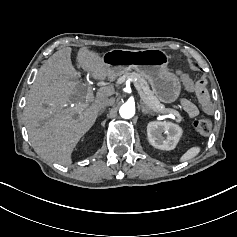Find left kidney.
Wrapping results in <instances>:
<instances>
[{"label": "left kidney", "mask_w": 237, "mask_h": 237, "mask_svg": "<svg viewBox=\"0 0 237 237\" xmlns=\"http://www.w3.org/2000/svg\"><path fill=\"white\" fill-rule=\"evenodd\" d=\"M181 134V128L173 123L150 122L147 126L149 142L153 147L160 150L174 149Z\"/></svg>", "instance_id": "1"}]
</instances>
